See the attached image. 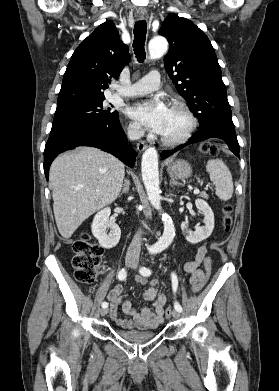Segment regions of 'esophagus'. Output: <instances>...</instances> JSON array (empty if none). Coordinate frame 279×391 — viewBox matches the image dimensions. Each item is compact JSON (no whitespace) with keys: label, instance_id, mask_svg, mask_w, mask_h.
I'll return each instance as SVG.
<instances>
[{"label":"esophagus","instance_id":"obj_1","mask_svg":"<svg viewBox=\"0 0 279 391\" xmlns=\"http://www.w3.org/2000/svg\"><path fill=\"white\" fill-rule=\"evenodd\" d=\"M147 148V144L143 141L138 142L137 149L142 152Z\"/></svg>","mask_w":279,"mask_h":391}]
</instances>
